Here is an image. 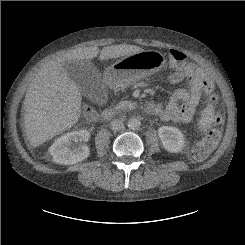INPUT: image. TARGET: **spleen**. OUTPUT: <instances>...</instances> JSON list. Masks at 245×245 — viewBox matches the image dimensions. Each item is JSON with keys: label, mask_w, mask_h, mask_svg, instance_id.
Instances as JSON below:
<instances>
[{"label": "spleen", "mask_w": 245, "mask_h": 245, "mask_svg": "<svg viewBox=\"0 0 245 245\" xmlns=\"http://www.w3.org/2000/svg\"><path fill=\"white\" fill-rule=\"evenodd\" d=\"M212 117H213V108L212 106H207L203 110L201 119L199 120V128L206 131L210 127Z\"/></svg>", "instance_id": "3e777b00"}]
</instances>
